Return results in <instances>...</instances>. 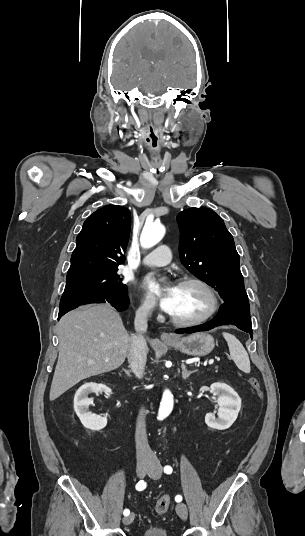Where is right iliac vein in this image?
Segmentation results:
<instances>
[{"instance_id":"1","label":"right iliac vein","mask_w":305,"mask_h":536,"mask_svg":"<svg viewBox=\"0 0 305 536\" xmlns=\"http://www.w3.org/2000/svg\"><path fill=\"white\" fill-rule=\"evenodd\" d=\"M150 469V466L149 465H143V464H139L137 465L136 467V472H137V475L140 477V478H143L144 475L146 474V472ZM135 518V515L134 513H131L129 516L125 517L123 519V523L125 525H129L132 523V521L134 520Z\"/></svg>"}]
</instances>
